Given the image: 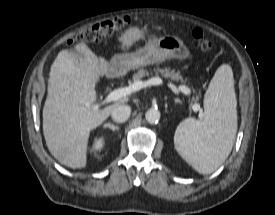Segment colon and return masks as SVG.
Wrapping results in <instances>:
<instances>
[{"label":"colon","instance_id":"colon-1","mask_svg":"<svg viewBox=\"0 0 275 215\" xmlns=\"http://www.w3.org/2000/svg\"><path fill=\"white\" fill-rule=\"evenodd\" d=\"M130 18L128 16H117L101 22L97 25L88 28L73 39L70 43L84 42V43H97L106 38H110L117 34L130 24ZM193 37L199 42V46L202 50L208 51L211 49V42L204 37L201 29H194L192 32Z\"/></svg>","mask_w":275,"mask_h":215}]
</instances>
